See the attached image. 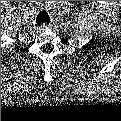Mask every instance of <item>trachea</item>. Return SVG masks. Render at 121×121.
Returning <instances> with one entry per match:
<instances>
[{
    "label": "trachea",
    "instance_id": "1",
    "mask_svg": "<svg viewBox=\"0 0 121 121\" xmlns=\"http://www.w3.org/2000/svg\"><path fill=\"white\" fill-rule=\"evenodd\" d=\"M36 22H37L38 24H40V23H45V22L49 23V22H50V18H49L48 13H47L46 11L40 12V13L38 14L37 18H36Z\"/></svg>",
    "mask_w": 121,
    "mask_h": 121
}]
</instances>
